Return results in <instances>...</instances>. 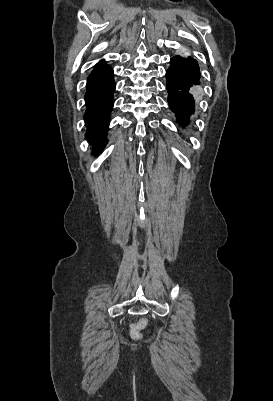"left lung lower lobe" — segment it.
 <instances>
[{
    "label": "left lung lower lobe",
    "mask_w": 273,
    "mask_h": 401,
    "mask_svg": "<svg viewBox=\"0 0 273 401\" xmlns=\"http://www.w3.org/2000/svg\"><path fill=\"white\" fill-rule=\"evenodd\" d=\"M166 78L170 109L175 113L177 121L184 126L186 121L189 122V116L195 110L190 88L199 84L200 71L197 61L192 57L174 56L170 60Z\"/></svg>",
    "instance_id": "left-lung-lower-lobe-1"
}]
</instances>
